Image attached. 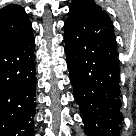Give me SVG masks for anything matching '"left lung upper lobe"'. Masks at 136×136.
<instances>
[{
    "label": "left lung upper lobe",
    "instance_id": "1",
    "mask_svg": "<svg viewBox=\"0 0 136 136\" xmlns=\"http://www.w3.org/2000/svg\"><path fill=\"white\" fill-rule=\"evenodd\" d=\"M88 14L108 15L93 0H74L69 9V17L84 16Z\"/></svg>",
    "mask_w": 136,
    "mask_h": 136
}]
</instances>
